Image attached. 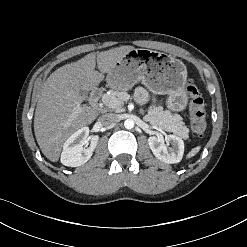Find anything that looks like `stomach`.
Listing matches in <instances>:
<instances>
[{
    "label": "stomach",
    "mask_w": 247,
    "mask_h": 247,
    "mask_svg": "<svg viewBox=\"0 0 247 247\" xmlns=\"http://www.w3.org/2000/svg\"><path fill=\"white\" fill-rule=\"evenodd\" d=\"M186 79L187 69L180 60L149 49H134L116 62L106 82L110 88L120 91L142 82L153 93L167 95L168 109L180 112L188 103Z\"/></svg>",
    "instance_id": "0dacf381"
}]
</instances>
